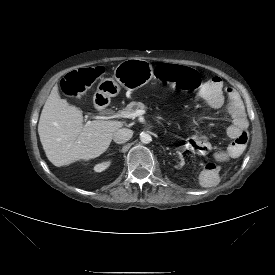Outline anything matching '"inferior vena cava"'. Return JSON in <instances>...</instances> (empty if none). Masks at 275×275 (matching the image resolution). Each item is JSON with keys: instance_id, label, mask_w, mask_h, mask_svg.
<instances>
[{"instance_id": "602c4592", "label": "inferior vena cava", "mask_w": 275, "mask_h": 275, "mask_svg": "<svg viewBox=\"0 0 275 275\" xmlns=\"http://www.w3.org/2000/svg\"><path fill=\"white\" fill-rule=\"evenodd\" d=\"M133 136V131L127 128H121L114 132L113 140L117 144H122L130 140Z\"/></svg>"}]
</instances>
